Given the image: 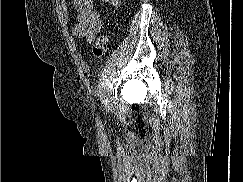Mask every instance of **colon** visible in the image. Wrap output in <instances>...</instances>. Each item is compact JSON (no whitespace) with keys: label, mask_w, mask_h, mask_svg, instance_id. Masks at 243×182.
<instances>
[{"label":"colon","mask_w":243,"mask_h":182,"mask_svg":"<svg viewBox=\"0 0 243 182\" xmlns=\"http://www.w3.org/2000/svg\"><path fill=\"white\" fill-rule=\"evenodd\" d=\"M108 46H109V37L107 34H101L95 44H94V47H93V55L96 57V58H102L106 53H107V50H108Z\"/></svg>","instance_id":"5ec220e1"}]
</instances>
